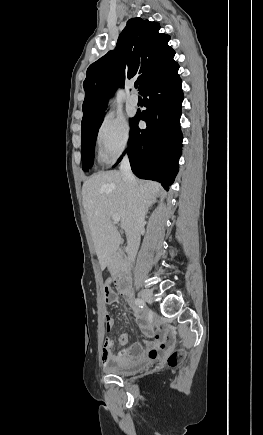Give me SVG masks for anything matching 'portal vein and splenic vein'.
<instances>
[{"label": "portal vein and splenic vein", "mask_w": 263, "mask_h": 435, "mask_svg": "<svg viewBox=\"0 0 263 435\" xmlns=\"http://www.w3.org/2000/svg\"><path fill=\"white\" fill-rule=\"evenodd\" d=\"M112 220H113L114 222H119V221H120V216L117 215V214H115V215L112 216Z\"/></svg>", "instance_id": "obj_1"}]
</instances>
